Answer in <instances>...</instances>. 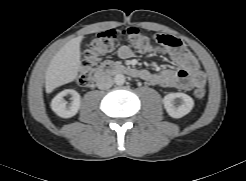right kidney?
Wrapping results in <instances>:
<instances>
[{"label":"right kidney","mask_w":246,"mask_h":181,"mask_svg":"<svg viewBox=\"0 0 246 181\" xmlns=\"http://www.w3.org/2000/svg\"><path fill=\"white\" fill-rule=\"evenodd\" d=\"M67 94H72V102L67 105L63 97ZM81 105V97L74 90H64L56 95L51 102V109L62 118H71L75 116Z\"/></svg>","instance_id":"1"}]
</instances>
